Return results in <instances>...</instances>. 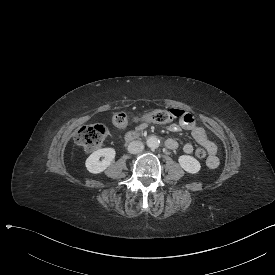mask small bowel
I'll use <instances>...</instances> for the list:
<instances>
[{
  "mask_svg": "<svg viewBox=\"0 0 275 275\" xmlns=\"http://www.w3.org/2000/svg\"><path fill=\"white\" fill-rule=\"evenodd\" d=\"M169 113L171 116H175L177 113V117L179 118V123H173L169 126V130L171 132H178L181 129H185L189 131L193 137V139L203 148H205L209 154L206 164L210 169H216L219 165V159L216 156L217 147L215 143L209 138L206 131L198 125L191 112L181 111V110H173L170 109ZM166 146L170 150H177L179 148V143L175 139H168L166 141ZM194 150V147L191 143L187 142L183 145V151L186 154H191Z\"/></svg>",
  "mask_w": 275,
  "mask_h": 275,
  "instance_id": "small-bowel-1",
  "label": "small bowel"
}]
</instances>
